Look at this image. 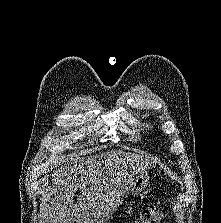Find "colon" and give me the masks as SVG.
I'll return each mask as SVG.
<instances>
[{
    "mask_svg": "<svg viewBox=\"0 0 221 223\" xmlns=\"http://www.w3.org/2000/svg\"><path fill=\"white\" fill-rule=\"evenodd\" d=\"M163 212L158 203L151 204L142 211L140 216L133 223H159Z\"/></svg>",
    "mask_w": 221,
    "mask_h": 223,
    "instance_id": "obj_1",
    "label": "colon"
}]
</instances>
